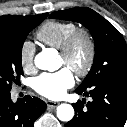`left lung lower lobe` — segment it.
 I'll return each mask as SVG.
<instances>
[{
	"label": "left lung lower lobe",
	"mask_w": 127,
	"mask_h": 127,
	"mask_svg": "<svg viewBox=\"0 0 127 127\" xmlns=\"http://www.w3.org/2000/svg\"><path fill=\"white\" fill-rule=\"evenodd\" d=\"M92 98L86 106L72 104L76 115L66 127H123L127 119V81L104 79L84 92Z\"/></svg>",
	"instance_id": "0a47b994"
}]
</instances>
